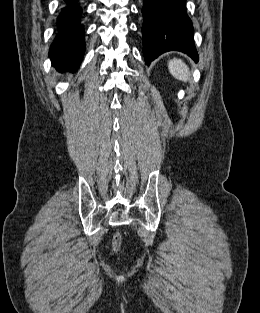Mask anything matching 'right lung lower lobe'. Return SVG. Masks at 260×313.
<instances>
[{"label":"right lung lower lobe","instance_id":"right-lung-lower-lobe-1","mask_svg":"<svg viewBox=\"0 0 260 313\" xmlns=\"http://www.w3.org/2000/svg\"><path fill=\"white\" fill-rule=\"evenodd\" d=\"M57 19V35L50 47L52 62L62 70L75 71L83 60L84 28L81 24L83 8L80 0H64Z\"/></svg>","mask_w":260,"mask_h":313}]
</instances>
